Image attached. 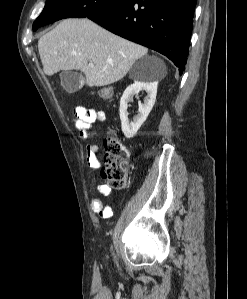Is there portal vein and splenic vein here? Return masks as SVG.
<instances>
[{
  "label": "portal vein and splenic vein",
  "instance_id": "18ae733b",
  "mask_svg": "<svg viewBox=\"0 0 247 299\" xmlns=\"http://www.w3.org/2000/svg\"><path fill=\"white\" fill-rule=\"evenodd\" d=\"M89 66H93V63H92V62H90V63H89Z\"/></svg>",
  "mask_w": 247,
  "mask_h": 299
}]
</instances>
